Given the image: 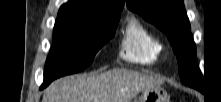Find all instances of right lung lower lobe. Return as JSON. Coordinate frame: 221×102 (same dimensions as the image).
Segmentation results:
<instances>
[{
    "label": "right lung lower lobe",
    "instance_id": "right-lung-lower-lobe-1",
    "mask_svg": "<svg viewBox=\"0 0 221 102\" xmlns=\"http://www.w3.org/2000/svg\"><path fill=\"white\" fill-rule=\"evenodd\" d=\"M44 87H46V86L42 85V86H41V89H43Z\"/></svg>",
    "mask_w": 221,
    "mask_h": 102
}]
</instances>
